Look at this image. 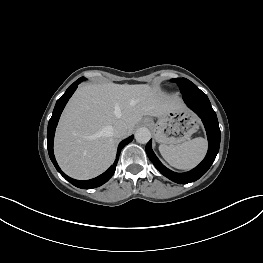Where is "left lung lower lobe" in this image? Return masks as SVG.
<instances>
[{"label": "left lung lower lobe", "instance_id": "left-lung-lower-lobe-1", "mask_svg": "<svg viewBox=\"0 0 263 263\" xmlns=\"http://www.w3.org/2000/svg\"><path fill=\"white\" fill-rule=\"evenodd\" d=\"M183 100L202 119L205 126L209 147L204 160L189 172L175 173L166 168L156 157L151 148V140L146 145L147 155L156 169L170 180L179 184L194 182L203 176L214 162L220 146L219 124L208 97L202 91H198L183 94Z\"/></svg>", "mask_w": 263, "mask_h": 263}]
</instances>
